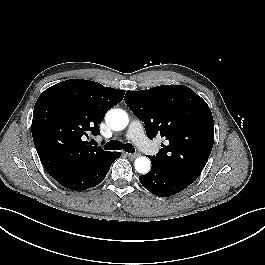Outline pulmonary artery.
<instances>
[{
  "label": "pulmonary artery",
  "mask_w": 265,
  "mask_h": 265,
  "mask_svg": "<svg viewBox=\"0 0 265 265\" xmlns=\"http://www.w3.org/2000/svg\"><path fill=\"white\" fill-rule=\"evenodd\" d=\"M127 137L134 141L140 148H144L147 143L143 125L138 120L131 122L127 132Z\"/></svg>",
  "instance_id": "obj_1"
}]
</instances>
